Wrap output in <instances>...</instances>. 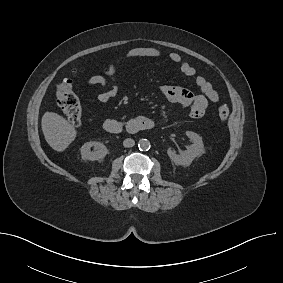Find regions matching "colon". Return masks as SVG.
I'll list each match as a JSON object with an SVG mask.
<instances>
[{"mask_svg": "<svg viewBox=\"0 0 283 283\" xmlns=\"http://www.w3.org/2000/svg\"><path fill=\"white\" fill-rule=\"evenodd\" d=\"M57 103L72 126H79L82 119V106L80 100L73 90V81L65 78L56 85ZM230 110L227 105L222 104L218 108V116L225 122L229 118Z\"/></svg>", "mask_w": 283, "mask_h": 283, "instance_id": "obj_1", "label": "colon"}]
</instances>
